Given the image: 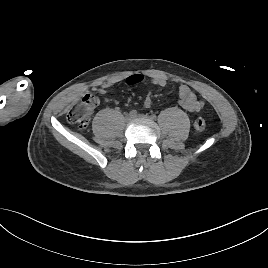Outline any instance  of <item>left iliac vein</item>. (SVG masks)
<instances>
[{
  "instance_id": "left-iliac-vein-1",
  "label": "left iliac vein",
  "mask_w": 268,
  "mask_h": 268,
  "mask_svg": "<svg viewBox=\"0 0 268 268\" xmlns=\"http://www.w3.org/2000/svg\"><path fill=\"white\" fill-rule=\"evenodd\" d=\"M136 117L143 118V119H151V117H149L148 115H143V114H139Z\"/></svg>"
}]
</instances>
